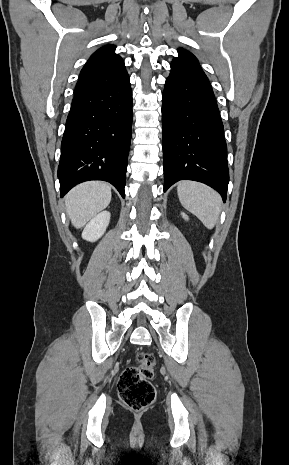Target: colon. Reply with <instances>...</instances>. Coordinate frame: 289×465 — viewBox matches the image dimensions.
Segmentation results:
<instances>
[{
    "label": "colon",
    "mask_w": 289,
    "mask_h": 465,
    "mask_svg": "<svg viewBox=\"0 0 289 465\" xmlns=\"http://www.w3.org/2000/svg\"><path fill=\"white\" fill-rule=\"evenodd\" d=\"M155 360L147 352L137 356V363L127 367L119 380L118 392L121 401L132 410H141L153 403L156 391L151 383Z\"/></svg>",
    "instance_id": "obj_1"
}]
</instances>
